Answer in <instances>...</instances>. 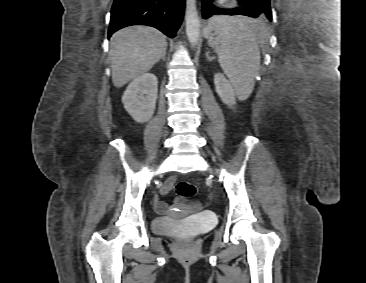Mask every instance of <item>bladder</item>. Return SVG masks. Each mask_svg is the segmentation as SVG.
Listing matches in <instances>:
<instances>
[{"label":"bladder","mask_w":366,"mask_h":283,"mask_svg":"<svg viewBox=\"0 0 366 283\" xmlns=\"http://www.w3.org/2000/svg\"><path fill=\"white\" fill-rule=\"evenodd\" d=\"M213 225L204 219H197L191 223H183L169 218H156L153 220V231L160 235L192 237L201 234Z\"/></svg>","instance_id":"31cf9c89"}]
</instances>
